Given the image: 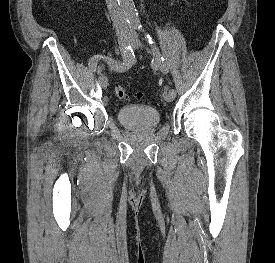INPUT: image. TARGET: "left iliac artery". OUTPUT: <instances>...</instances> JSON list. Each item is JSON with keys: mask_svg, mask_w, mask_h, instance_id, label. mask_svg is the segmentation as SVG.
Listing matches in <instances>:
<instances>
[{"mask_svg": "<svg viewBox=\"0 0 275 263\" xmlns=\"http://www.w3.org/2000/svg\"><path fill=\"white\" fill-rule=\"evenodd\" d=\"M138 29L141 30V31H144L142 29V26H140ZM145 38L151 46V50H152V54H153L152 63L154 65H158L160 67V70L163 73H165V74L168 73V71H169L168 65H167L164 57L161 55V53H160L158 47L156 46L155 42L153 41V38L149 34H145ZM169 91L176 95V91L174 89H170Z\"/></svg>", "mask_w": 275, "mask_h": 263, "instance_id": "44dca946", "label": "left iliac artery"}]
</instances>
